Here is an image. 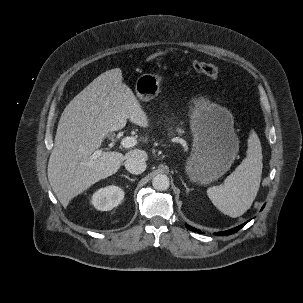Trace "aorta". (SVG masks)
<instances>
[{"label": "aorta", "instance_id": "1", "mask_svg": "<svg viewBox=\"0 0 303 303\" xmlns=\"http://www.w3.org/2000/svg\"><path fill=\"white\" fill-rule=\"evenodd\" d=\"M154 189L158 191H165L169 188V178L165 174H158L152 180Z\"/></svg>", "mask_w": 303, "mask_h": 303}]
</instances>
